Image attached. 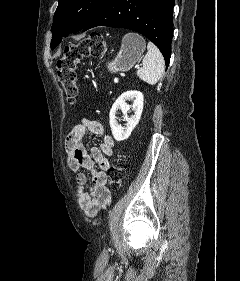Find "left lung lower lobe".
<instances>
[{"mask_svg":"<svg viewBox=\"0 0 240 281\" xmlns=\"http://www.w3.org/2000/svg\"><path fill=\"white\" fill-rule=\"evenodd\" d=\"M174 0H105L82 29L108 26L134 30L162 52L166 67L171 57Z\"/></svg>","mask_w":240,"mask_h":281,"instance_id":"obj_1","label":"left lung lower lobe"}]
</instances>
